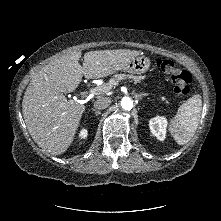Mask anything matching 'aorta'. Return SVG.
<instances>
[{
	"label": "aorta",
	"mask_w": 221,
	"mask_h": 221,
	"mask_svg": "<svg viewBox=\"0 0 221 221\" xmlns=\"http://www.w3.org/2000/svg\"><path fill=\"white\" fill-rule=\"evenodd\" d=\"M121 107L124 110H131L133 107V100L129 97H123L121 100Z\"/></svg>",
	"instance_id": "obj_1"
}]
</instances>
